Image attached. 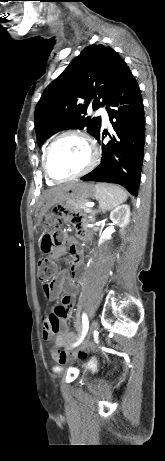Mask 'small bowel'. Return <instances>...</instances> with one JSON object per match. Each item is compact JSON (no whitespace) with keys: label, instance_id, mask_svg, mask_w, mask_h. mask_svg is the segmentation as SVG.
Wrapping results in <instances>:
<instances>
[{"label":"small bowel","instance_id":"obj_1","mask_svg":"<svg viewBox=\"0 0 165 461\" xmlns=\"http://www.w3.org/2000/svg\"><path fill=\"white\" fill-rule=\"evenodd\" d=\"M70 208V204H56L50 214L52 217H69V221L77 228L78 234L85 236L81 214H77L76 209ZM64 253L65 247H57L51 251V257L58 260ZM70 253L74 258L71 272L60 271L51 281L44 282L42 286L43 293L49 300H55L62 291L65 292L60 304L43 318V337L45 340H72L74 344L77 341V335L68 331L67 321L72 316L77 293L75 280L80 275L81 251L77 243H71ZM52 356L58 362L66 360V354H59L58 348H55Z\"/></svg>","mask_w":165,"mask_h":461}]
</instances>
